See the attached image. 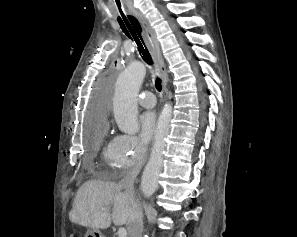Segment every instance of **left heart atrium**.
Instances as JSON below:
<instances>
[{"instance_id":"39dd6f15","label":"left heart atrium","mask_w":297,"mask_h":237,"mask_svg":"<svg viewBox=\"0 0 297 237\" xmlns=\"http://www.w3.org/2000/svg\"><path fill=\"white\" fill-rule=\"evenodd\" d=\"M139 123L141 138L144 142L148 143L152 139L156 129L157 118L155 112H144L139 118Z\"/></svg>"}]
</instances>
